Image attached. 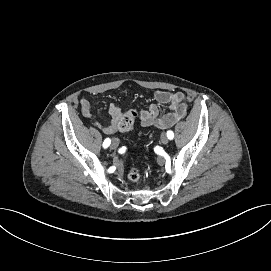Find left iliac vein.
Returning <instances> with one entry per match:
<instances>
[{"mask_svg":"<svg viewBox=\"0 0 271 271\" xmlns=\"http://www.w3.org/2000/svg\"><path fill=\"white\" fill-rule=\"evenodd\" d=\"M168 142H169V139H168L167 135L165 133H163L161 135V143L166 145V144H168Z\"/></svg>","mask_w":271,"mask_h":271,"instance_id":"obj_1","label":"left iliac vein"}]
</instances>
